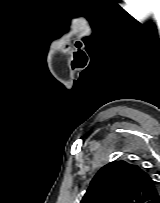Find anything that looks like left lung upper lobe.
Masks as SVG:
<instances>
[{
    "instance_id": "1",
    "label": "left lung upper lobe",
    "mask_w": 160,
    "mask_h": 203,
    "mask_svg": "<svg viewBox=\"0 0 160 203\" xmlns=\"http://www.w3.org/2000/svg\"><path fill=\"white\" fill-rule=\"evenodd\" d=\"M156 185L139 166L113 161L98 171L80 203H159Z\"/></svg>"
}]
</instances>
